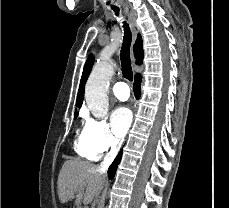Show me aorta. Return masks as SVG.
Masks as SVG:
<instances>
[{
	"instance_id": "obj_1",
	"label": "aorta",
	"mask_w": 229,
	"mask_h": 208,
	"mask_svg": "<svg viewBox=\"0 0 229 208\" xmlns=\"http://www.w3.org/2000/svg\"><path fill=\"white\" fill-rule=\"evenodd\" d=\"M114 74V66L111 62L97 63L85 86V100L88 109L96 118H103L109 109L107 95L108 84Z\"/></svg>"
}]
</instances>
